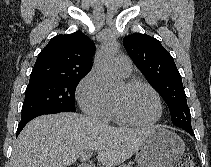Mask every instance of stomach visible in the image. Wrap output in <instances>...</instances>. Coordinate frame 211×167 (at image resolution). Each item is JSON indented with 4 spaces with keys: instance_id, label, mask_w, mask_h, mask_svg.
<instances>
[{
    "instance_id": "0dacf381",
    "label": "stomach",
    "mask_w": 211,
    "mask_h": 167,
    "mask_svg": "<svg viewBox=\"0 0 211 167\" xmlns=\"http://www.w3.org/2000/svg\"><path fill=\"white\" fill-rule=\"evenodd\" d=\"M185 144L175 133L156 126L136 152L138 167H174Z\"/></svg>"
}]
</instances>
